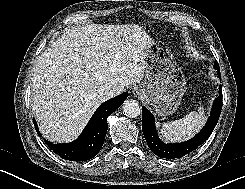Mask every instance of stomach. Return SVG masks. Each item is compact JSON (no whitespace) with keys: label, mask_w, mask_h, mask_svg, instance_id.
I'll use <instances>...</instances> for the list:
<instances>
[{"label":"stomach","mask_w":245,"mask_h":189,"mask_svg":"<svg viewBox=\"0 0 245 189\" xmlns=\"http://www.w3.org/2000/svg\"><path fill=\"white\" fill-rule=\"evenodd\" d=\"M145 73L136 94L152 105L158 116L173 114L186 90V79L171 50L154 43L144 50Z\"/></svg>","instance_id":"1"}]
</instances>
